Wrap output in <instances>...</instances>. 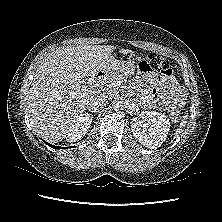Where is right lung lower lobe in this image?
Segmentation results:
<instances>
[{
    "label": "right lung lower lobe",
    "mask_w": 222,
    "mask_h": 222,
    "mask_svg": "<svg viewBox=\"0 0 222 222\" xmlns=\"http://www.w3.org/2000/svg\"><path fill=\"white\" fill-rule=\"evenodd\" d=\"M47 145H49L50 147H52V148H54V149H60V147H58V146H54V145H51V144H49V143H47V142H45Z\"/></svg>",
    "instance_id": "right-lung-lower-lobe-1"
}]
</instances>
